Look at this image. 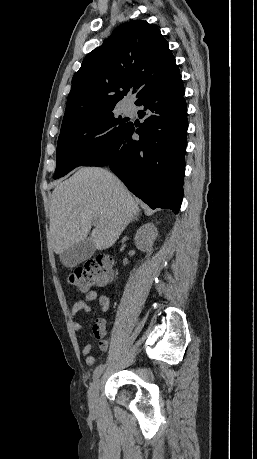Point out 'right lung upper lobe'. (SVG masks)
<instances>
[{
	"label": "right lung upper lobe",
	"instance_id": "obj_1",
	"mask_svg": "<svg viewBox=\"0 0 257 459\" xmlns=\"http://www.w3.org/2000/svg\"><path fill=\"white\" fill-rule=\"evenodd\" d=\"M177 74L175 58L156 26L142 20L122 24L74 74L61 132L114 109L129 88L137 92L136 104Z\"/></svg>",
	"mask_w": 257,
	"mask_h": 459
}]
</instances>
